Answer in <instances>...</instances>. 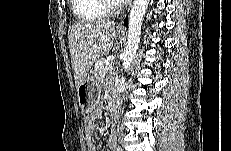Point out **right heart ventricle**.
I'll use <instances>...</instances> for the list:
<instances>
[{
	"label": "right heart ventricle",
	"mask_w": 231,
	"mask_h": 151,
	"mask_svg": "<svg viewBox=\"0 0 231 151\" xmlns=\"http://www.w3.org/2000/svg\"><path fill=\"white\" fill-rule=\"evenodd\" d=\"M72 3L79 24L98 22L106 17L100 0H73Z\"/></svg>",
	"instance_id": "e07e8e85"
}]
</instances>
